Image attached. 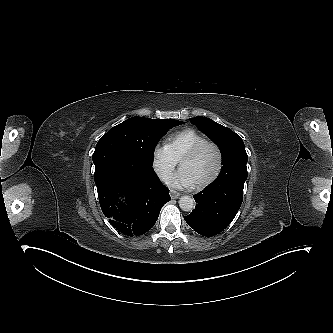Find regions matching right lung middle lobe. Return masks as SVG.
I'll use <instances>...</instances> for the list:
<instances>
[{
	"label": "right lung middle lobe",
	"mask_w": 333,
	"mask_h": 333,
	"mask_svg": "<svg viewBox=\"0 0 333 333\" xmlns=\"http://www.w3.org/2000/svg\"><path fill=\"white\" fill-rule=\"evenodd\" d=\"M183 124L174 119H149L132 117L111 128L104 137H113L126 144L150 167L153 165L157 142L172 127Z\"/></svg>",
	"instance_id": "right-lung-middle-lobe-1"
}]
</instances>
